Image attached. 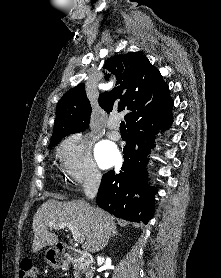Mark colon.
<instances>
[{"instance_id":"colon-1","label":"colon","mask_w":221,"mask_h":278,"mask_svg":"<svg viewBox=\"0 0 221 278\" xmlns=\"http://www.w3.org/2000/svg\"><path fill=\"white\" fill-rule=\"evenodd\" d=\"M18 278H38L37 269L31 260L23 261L19 268Z\"/></svg>"}]
</instances>
